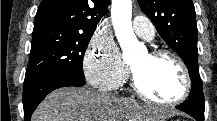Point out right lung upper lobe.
Segmentation results:
<instances>
[{
    "instance_id": "1",
    "label": "right lung upper lobe",
    "mask_w": 217,
    "mask_h": 121,
    "mask_svg": "<svg viewBox=\"0 0 217 121\" xmlns=\"http://www.w3.org/2000/svg\"><path fill=\"white\" fill-rule=\"evenodd\" d=\"M107 0H42L36 13L34 27L45 24L95 30L106 14Z\"/></svg>"
}]
</instances>
